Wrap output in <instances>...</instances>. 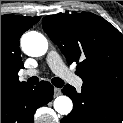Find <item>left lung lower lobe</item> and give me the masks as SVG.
<instances>
[{
  "mask_svg": "<svg viewBox=\"0 0 123 123\" xmlns=\"http://www.w3.org/2000/svg\"><path fill=\"white\" fill-rule=\"evenodd\" d=\"M63 94L74 104L72 112L61 123H121L123 119V95L99 91L82 86L81 92L70 85L64 86Z\"/></svg>",
  "mask_w": 123,
  "mask_h": 123,
  "instance_id": "left-lung-lower-lobe-1",
  "label": "left lung lower lobe"
}]
</instances>
